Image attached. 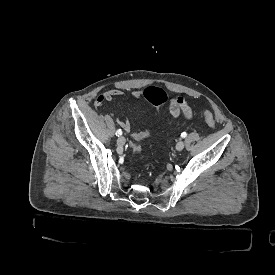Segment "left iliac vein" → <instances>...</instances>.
I'll use <instances>...</instances> for the list:
<instances>
[{
  "mask_svg": "<svg viewBox=\"0 0 275 275\" xmlns=\"http://www.w3.org/2000/svg\"><path fill=\"white\" fill-rule=\"evenodd\" d=\"M185 147V143L183 141H179L177 144H176V149L178 151H182Z\"/></svg>",
  "mask_w": 275,
  "mask_h": 275,
  "instance_id": "obj_1",
  "label": "left iliac vein"
}]
</instances>
